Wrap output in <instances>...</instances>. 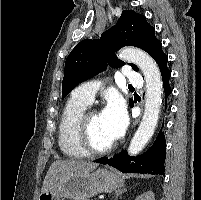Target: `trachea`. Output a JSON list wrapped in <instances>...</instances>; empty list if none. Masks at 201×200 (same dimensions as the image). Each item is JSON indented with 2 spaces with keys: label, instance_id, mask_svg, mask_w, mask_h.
I'll list each match as a JSON object with an SVG mask.
<instances>
[{
  "label": "trachea",
  "instance_id": "3493384b",
  "mask_svg": "<svg viewBox=\"0 0 201 200\" xmlns=\"http://www.w3.org/2000/svg\"><path fill=\"white\" fill-rule=\"evenodd\" d=\"M130 88H134L132 85H129Z\"/></svg>",
  "mask_w": 201,
  "mask_h": 200
}]
</instances>
